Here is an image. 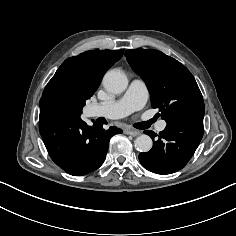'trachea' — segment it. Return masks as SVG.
I'll return each mask as SVG.
<instances>
[{
    "instance_id": "3493384b",
    "label": "trachea",
    "mask_w": 236,
    "mask_h": 236,
    "mask_svg": "<svg viewBox=\"0 0 236 236\" xmlns=\"http://www.w3.org/2000/svg\"><path fill=\"white\" fill-rule=\"evenodd\" d=\"M150 125H151V122L146 121V122L136 123L134 126L138 129H147L150 127Z\"/></svg>"
}]
</instances>
